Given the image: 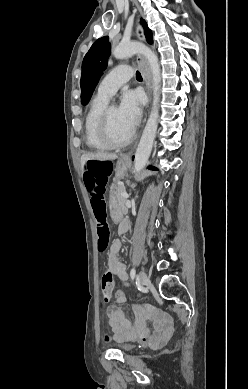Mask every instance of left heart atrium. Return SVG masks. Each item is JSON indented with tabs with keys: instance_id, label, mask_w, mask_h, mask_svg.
I'll use <instances>...</instances> for the list:
<instances>
[{
	"instance_id": "obj_1",
	"label": "left heart atrium",
	"mask_w": 248,
	"mask_h": 389,
	"mask_svg": "<svg viewBox=\"0 0 248 389\" xmlns=\"http://www.w3.org/2000/svg\"><path fill=\"white\" fill-rule=\"evenodd\" d=\"M141 95L135 91L123 92L118 107L119 114L126 125L133 130L141 116Z\"/></svg>"
}]
</instances>
